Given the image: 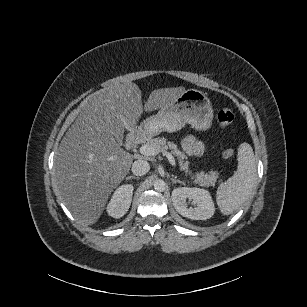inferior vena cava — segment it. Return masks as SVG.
Returning a JSON list of instances; mask_svg holds the SVG:
<instances>
[{
    "label": "inferior vena cava",
    "instance_id": "inferior-vena-cava-1",
    "mask_svg": "<svg viewBox=\"0 0 307 307\" xmlns=\"http://www.w3.org/2000/svg\"><path fill=\"white\" fill-rule=\"evenodd\" d=\"M150 170V165L145 160H137L132 164V172L136 176L145 175Z\"/></svg>",
    "mask_w": 307,
    "mask_h": 307
}]
</instances>
